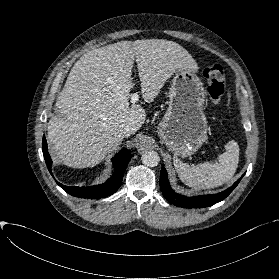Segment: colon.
Listing matches in <instances>:
<instances>
[{
    "mask_svg": "<svg viewBox=\"0 0 279 279\" xmlns=\"http://www.w3.org/2000/svg\"><path fill=\"white\" fill-rule=\"evenodd\" d=\"M210 101L217 106L221 103L225 91V72L219 63H210L204 70Z\"/></svg>",
    "mask_w": 279,
    "mask_h": 279,
    "instance_id": "1",
    "label": "colon"
}]
</instances>
